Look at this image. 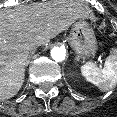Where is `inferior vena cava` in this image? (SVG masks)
<instances>
[{"mask_svg":"<svg viewBox=\"0 0 117 117\" xmlns=\"http://www.w3.org/2000/svg\"><path fill=\"white\" fill-rule=\"evenodd\" d=\"M28 54L30 56H35L37 54V48L35 46H30L28 48Z\"/></svg>","mask_w":117,"mask_h":117,"instance_id":"inferior-vena-cava-1","label":"inferior vena cava"}]
</instances>
